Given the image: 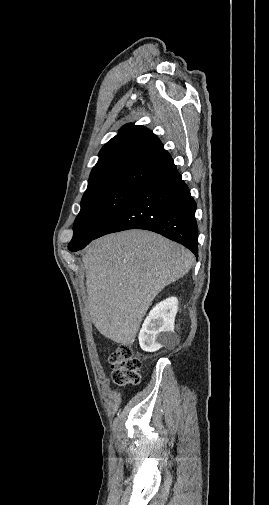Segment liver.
<instances>
[{"mask_svg": "<svg viewBox=\"0 0 269 505\" xmlns=\"http://www.w3.org/2000/svg\"><path fill=\"white\" fill-rule=\"evenodd\" d=\"M82 260L93 324L129 345L156 295L190 270L194 256L156 233L128 230L91 242Z\"/></svg>", "mask_w": 269, "mask_h": 505, "instance_id": "1", "label": "liver"}]
</instances>
